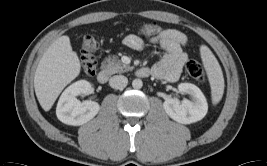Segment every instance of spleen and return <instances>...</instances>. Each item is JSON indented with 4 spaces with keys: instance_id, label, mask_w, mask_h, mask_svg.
Listing matches in <instances>:
<instances>
[{
    "instance_id": "3e777b00",
    "label": "spleen",
    "mask_w": 267,
    "mask_h": 166,
    "mask_svg": "<svg viewBox=\"0 0 267 166\" xmlns=\"http://www.w3.org/2000/svg\"><path fill=\"white\" fill-rule=\"evenodd\" d=\"M201 56L211 86L213 104H217L224 92V78L221 67L212 52L205 46L201 47Z\"/></svg>"
}]
</instances>
